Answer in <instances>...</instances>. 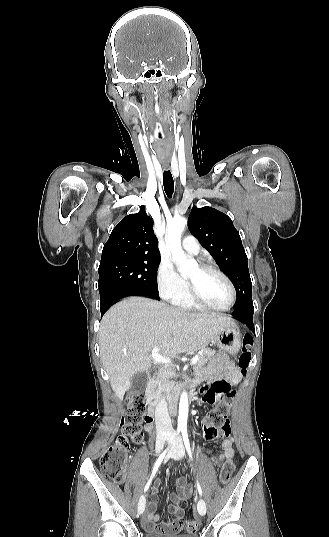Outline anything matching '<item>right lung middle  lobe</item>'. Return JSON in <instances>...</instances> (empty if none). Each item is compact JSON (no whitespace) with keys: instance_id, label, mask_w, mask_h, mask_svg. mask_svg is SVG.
<instances>
[{"instance_id":"right-lung-middle-lobe-1","label":"right lung middle lobe","mask_w":329,"mask_h":537,"mask_svg":"<svg viewBox=\"0 0 329 537\" xmlns=\"http://www.w3.org/2000/svg\"><path fill=\"white\" fill-rule=\"evenodd\" d=\"M160 258L150 261H120L99 266V288L121 286L158 293L157 269Z\"/></svg>"}]
</instances>
